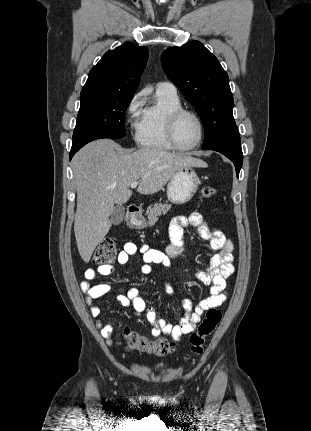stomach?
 I'll list each match as a JSON object with an SVG mask.
<instances>
[{"label":"stomach","mask_w":311,"mask_h":431,"mask_svg":"<svg viewBox=\"0 0 311 431\" xmlns=\"http://www.w3.org/2000/svg\"><path fill=\"white\" fill-rule=\"evenodd\" d=\"M200 184L198 174H196L191 166L183 168L168 182L166 190L167 200L171 204H176V206L187 204L195 196ZM127 225L128 227H132V229H143V227H147V219L144 216H131L127 219Z\"/></svg>","instance_id":"stomach-1"}]
</instances>
